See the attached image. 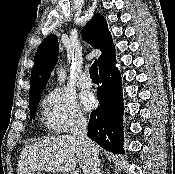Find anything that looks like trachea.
<instances>
[{
    "instance_id": "obj_1",
    "label": "trachea",
    "mask_w": 175,
    "mask_h": 174,
    "mask_svg": "<svg viewBox=\"0 0 175 174\" xmlns=\"http://www.w3.org/2000/svg\"><path fill=\"white\" fill-rule=\"evenodd\" d=\"M89 72H90V77H91L92 80H100L96 61L90 67V71Z\"/></svg>"
}]
</instances>
